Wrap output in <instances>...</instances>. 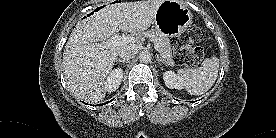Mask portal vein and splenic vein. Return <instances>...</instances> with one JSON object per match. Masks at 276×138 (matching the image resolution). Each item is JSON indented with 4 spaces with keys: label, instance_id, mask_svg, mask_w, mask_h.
I'll list each match as a JSON object with an SVG mask.
<instances>
[{
    "label": "portal vein and splenic vein",
    "instance_id": "portal-vein-and-splenic-vein-1",
    "mask_svg": "<svg viewBox=\"0 0 276 138\" xmlns=\"http://www.w3.org/2000/svg\"><path fill=\"white\" fill-rule=\"evenodd\" d=\"M136 38L133 36H119V35H114L112 36V38L109 41L110 45H117L118 43H122V42H129V43H134L136 42ZM155 49L157 51H159V47L158 44L155 43Z\"/></svg>",
    "mask_w": 276,
    "mask_h": 138
}]
</instances>
